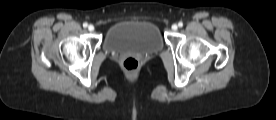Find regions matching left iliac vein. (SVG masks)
Segmentation results:
<instances>
[{
    "mask_svg": "<svg viewBox=\"0 0 276 120\" xmlns=\"http://www.w3.org/2000/svg\"><path fill=\"white\" fill-rule=\"evenodd\" d=\"M171 28L172 30L176 31L178 29V26L176 24H173Z\"/></svg>",
    "mask_w": 276,
    "mask_h": 120,
    "instance_id": "obj_1",
    "label": "left iliac vein"
}]
</instances>
